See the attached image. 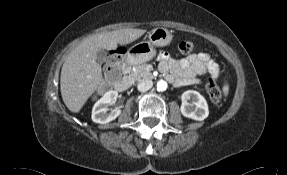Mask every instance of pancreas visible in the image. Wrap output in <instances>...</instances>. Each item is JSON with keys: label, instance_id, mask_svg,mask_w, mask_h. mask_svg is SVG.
I'll list each match as a JSON object with an SVG mask.
<instances>
[{"label": "pancreas", "instance_id": "pancreas-1", "mask_svg": "<svg viewBox=\"0 0 287 175\" xmlns=\"http://www.w3.org/2000/svg\"><path fill=\"white\" fill-rule=\"evenodd\" d=\"M129 79L131 81H141L144 79H149L152 77V74L146 70V65L141 64L138 66H135L134 70L129 74Z\"/></svg>", "mask_w": 287, "mask_h": 175}]
</instances>
